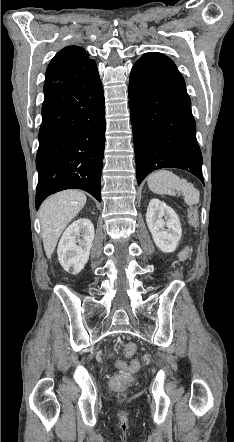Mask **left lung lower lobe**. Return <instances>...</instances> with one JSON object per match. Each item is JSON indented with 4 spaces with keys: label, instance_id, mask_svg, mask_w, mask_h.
I'll return each mask as SVG.
<instances>
[{
    "label": "left lung lower lobe",
    "instance_id": "0a47b994",
    "mask_svg": "<svg viewBox=\"0 0 234 442\" xmlns=\"http://www.w3.org/2000/svg\"><path fill=\"white\" fill-rule=\"evenodd\" d=\"M129 107L138 184L149 173L167 167L184 169L204 183L191 101L171 59L151 52L135 63Z\"/></svg>",
    "mask_w": 234,
    "mask_h": 442
}]
</instances>
